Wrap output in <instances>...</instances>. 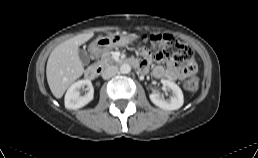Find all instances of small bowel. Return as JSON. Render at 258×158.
Returning <instances> with one entry per match:
<instances>
[{
  "label": "small bowel",
  "instance_id": "c3829d8e",
  "mask_svg": "<svg viewBox=\"0 0 258 158\" xmlns=\"http://www.w3.org/2000/svg\"><path fill=\"white\" fill-rule=\"evenodd\" d=\"M140 53L144 57V60L140 62V71L146 73L151 64V53L145 47L140 49ZM156 59L160 62L165 63V66L156 65L153 67L152 74L157 79L164 78L170 81H176L196 71V66L194 63L189 64L186 69H180L179 66L172 59L163 54H158L156 56Z\"/></svg>",
  "mask_w": 258,
  "mask_h": 158
}]
</instances>
